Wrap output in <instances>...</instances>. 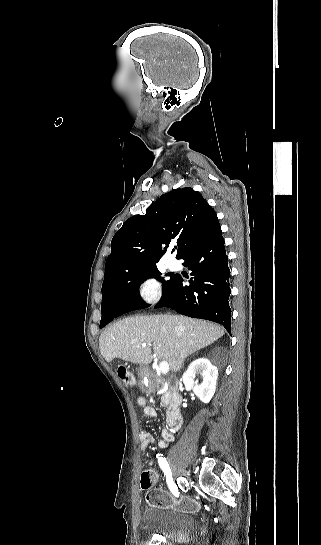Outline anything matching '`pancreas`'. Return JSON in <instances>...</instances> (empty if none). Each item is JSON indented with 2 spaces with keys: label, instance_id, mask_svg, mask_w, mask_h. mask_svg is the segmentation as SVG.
<instances>
[{
  "label": "pancreas",
  "instance_id": "obj_1",
  "mask_svg": "<svg viewBox=\"0 0 321 545\" xmlns=\"http://www.w3.org/2000/svg\"><path fill=\"white\" fill-rule=\"evenodd\" d=\"M146 375H156V373H154V371H146ZM169 397V391H166V393H164L163 397H161L162 401H166V399H168Z\"/></svg>",
  "mask_w": 321,
  "mask_h": 545
}]
</instances>
